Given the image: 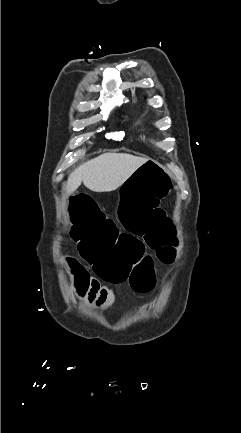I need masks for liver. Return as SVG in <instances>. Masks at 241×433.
<instances>
[{
  "instance_id": "obj_1",
  "label": "liver",
  "mask_w": 241,
  "mask_h": 433,
  "mask_svg": "<svg viewBox=\"0 0 241 433\" xmlns=\"http://www.w3.org/2000/svg\"><path fill=\"white\" fill-rule=\"evenodd\" d=\"M147 158L125 153H105L80 165L65 184L72 194L83 184L93 192H110L119 188Z\"/></svg>"
}]
</instances>
